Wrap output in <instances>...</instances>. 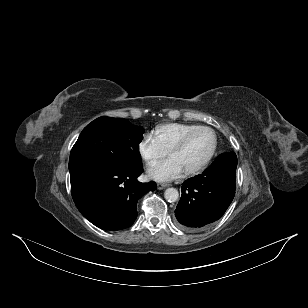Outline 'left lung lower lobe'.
<instances>
[{"label": "left lung lower lobe", "mask_w": 308, "mask_h": 308, "mask_svg": "<svg viewBox=\"0 0 308 308\" xmlns=\"http://www.w3.org/2000/svg\"><path fill=\"white\" fill-rule=\"evenodd\" d=\"M236 167V154L223 153L203 174L182 184L175 210L179 225L197 231L222 217L235 195Z\"/></svg>", "instance_id": "1"}]
</instances>
